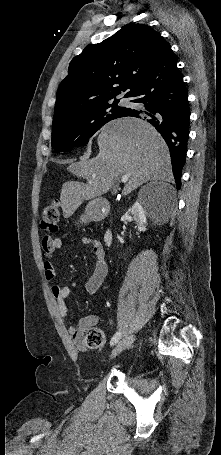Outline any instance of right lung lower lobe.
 Returning a JSON list of instances; mask_svg holds the SVG:
<instances>
[{
  "label": "right lung lower lobe",
  "instance_id": "1",
  "mask_svg": "<svg viewBox=\"0 0 221 455\" xmlns=\"http://www.w3.org/2000/svg\"><path fill=\"white\" fill-rule=\"evenodd\" d=\"M176 64L172 50L166 51L130 96L137 97L132 102L143 103L146 109H129L124 116H144L162 135L169 147L173 175L180 189L189 138L190 111L188 93Z\"/></svg>",
  "mask_w": 221,
  "mask_h": 455
}]
</instances>
